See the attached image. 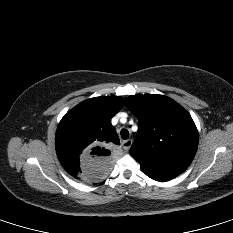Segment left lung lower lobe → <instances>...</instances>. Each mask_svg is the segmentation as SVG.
<instances>
[{"label":"left lung lower lobe","instance_id":"left-lung-lower-lobe-1","mask_svg":"<svg viewBox=\"0 0 233 233\" xmlns=\"http://www.w3.org/2000/svg\"><path fill=\"white\" fill-rule=\"evenodd\" d=\"M143 172L151 179L161 182L169 181L179 175L175 173H156V172H147V171H143Z\"/></svg>","mask_w":233,"mask_h":233}]
</instances>
